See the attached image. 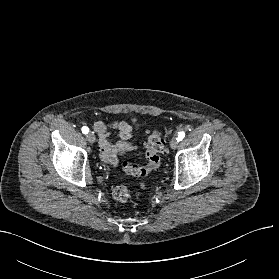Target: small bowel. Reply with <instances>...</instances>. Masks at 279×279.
I'll use <instances>...</instances> for the list:
<instances>
[{
	"label": "small bowel",
	"mask_w": 279,
	"mask_h": 279,
	"mask_svg": "<svg viewBox=\"0 0 279 279\" xmlns=\"http://www.w3.org/2000/svg\"><path fill=\"white\" fill-rule=\"evenodd\" d=\"M93 126L98 134L103 160L111 166H116L119 161L118 157L133 149V146L128 142L132 136L133 127L126 121H115L107 124L100 120L95 121ZM112 132L117 134L119 140L112 141L110 139Z\"/></svg>",
	"instance_id": "1"
}]
</instances>
